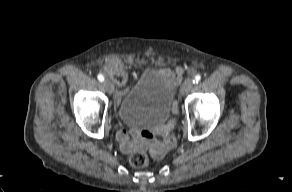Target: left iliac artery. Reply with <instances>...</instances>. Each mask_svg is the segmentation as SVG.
<instances>
[{"mask_svg":"<svg viewBox=\"0 0 292 192\" xmlns=\"http://www.w3.org/2000/svg\"><path fill=\"white\" fill-rule=\"evenodd\" d=\"M200 80H201V76L198 74V75H196V76L194 77V79H193V83H194V84H195V83H198Z\"/></svg>","mask_w":292,"mask_h":192,"instance_id":"obj_1","label":"left iliac artery"}]
</instances>
